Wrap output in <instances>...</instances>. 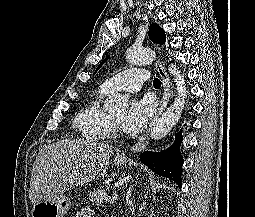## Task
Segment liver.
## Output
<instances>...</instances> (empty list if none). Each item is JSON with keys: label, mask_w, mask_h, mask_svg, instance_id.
<instances>
[{"label": "liver", "mask_w": 255, "mask_h": 217, "mask_svg": "<svg viewBox=\"0 0 255 217\" xmlns=\"http://www.w3.org/2000/svg\"><path fill=\"white\" fill-rule=\"evenodd\" d=\"M113 147L84 139H67L43 147L33 164L29 199L34 205L106 173Z\"/></svg>", "instance_id": "1"}]
</instances>
